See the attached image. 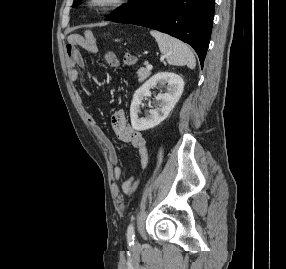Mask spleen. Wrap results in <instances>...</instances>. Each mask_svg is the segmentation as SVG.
Instances as JSON below:
<instances>
[{"instance_id":"spleen-1","label":"spleen","mask_w":286,"mask_h":269,"mask_svg":"<svg viewBox=\"0 0 286 269\" xmlns=\"http://www.w3.org/2000/svg\"><path fill=\"white\" fill-rule=\"evenodd\" d=\"M150 34L156 39L159 49L170 65L184 66L190 69L196 66V59L190 47L182 41L165 33L152 30Z\"/></svg>"}]
</instances>
